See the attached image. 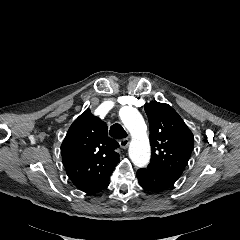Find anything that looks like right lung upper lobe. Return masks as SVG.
I'll list each match as a JSON object with an SVG mask.
<instances>
[{"mask_svg":"<svg viewBox=\"0 0 240 240\" xmlns=\"http://www.w3.org/2000/svg\"><path fill=\"white\" fill-rule=\"evenodd\" d=\"M118 147L109 137L106 123L87 109L72 123L61 145L68 177L85 193L103 190L119 162Z\"/></svg>","mask_w":240,"mask_h":240,"instance_id":"obj_1","label":"right lung upper lobe"}]
</instances>
